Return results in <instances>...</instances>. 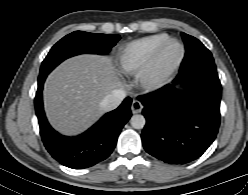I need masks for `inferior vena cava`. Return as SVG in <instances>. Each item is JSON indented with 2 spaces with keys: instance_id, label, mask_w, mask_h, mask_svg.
Returning <instances> with one entry per match:
<instances>
[{
  "instance_id": "602c4592",
  "label": "inferior vena cava",
  "mask_w": 248,
  "mask_h": 195,
  "mask_svg": "<svg viewBox=\"0 0 248 195\" xmlns=\"http://www.w3.org/2000/svg\"><path fill=\"white\" fill-rule=\"evenodd\" d=\"M125 96L126 92L123 89H114L102 99L100 108L104 111L113 110L120 105Z\"/></svg>"
}]
</instances>
